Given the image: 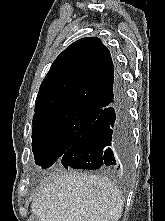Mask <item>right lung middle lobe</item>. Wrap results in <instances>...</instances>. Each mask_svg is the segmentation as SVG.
<instances>
[{"mask_svg": "<svg viewBox=\"0 0 165 221\" xmlns=\"http://www.w3.org/2000/svg\"><path fill=\"white\" fill-rule=\"evenodd\" d=\"M98 116V110L59 108L34 114L32 150L35 163L48 168L79 139Z\"/></svg>", "mask_w": 165, "mask_h": 221, "instance_id": "dd1d6c3e", "label": "right lung middle lobe"}]
</instances>
